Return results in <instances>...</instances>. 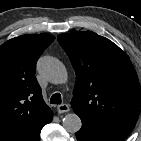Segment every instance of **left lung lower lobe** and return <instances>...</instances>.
Instances as JSON below:
<instances>
[{"label":"left lung lower lobe","instance_id":"left-lung-lower-lobe-1","mask_svg":"<svg viewBox=\"0 0 141 141\" xmlns=\"http://www.w3.org/2000/svg\"><path fill=\"white\" fill-rule=\"evenodd\" d=\"M76 137L78 141H124L123 138L103 134L84 124L82 128L76 132Z\"/></svg>","mask_w":141,"mask_h":141}]
</instances>
